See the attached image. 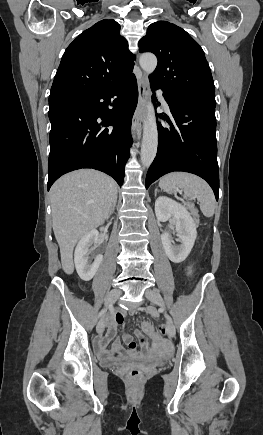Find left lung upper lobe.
Returning <instances> with one entry per match:
<instances>
[{
	"mask_svg": "<svg viewBox=\"0 0 263 435\" xmlns=\"http://www.w3.org/2000/svg\"><path fill=\"white\" fill-rule=\"evenodd\" d=\"M138 45L141 53L152 52L158 59L150 85L174 98L216 107L204 52L185 30L167 21L154 22Z\"/></svg>",
	"mask_w": 263,
	"mask_h": 435,
	"instance_id": "obj_1",
	"label": "left lung upper lobe"
}]
</instances>
